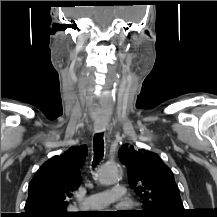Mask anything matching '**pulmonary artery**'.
Returning a JSON list of instances; mask_svg holds the SVG:
<instances>
[{
	"mask_svg": "<svg viewBox=\"0 0 217 217\" xmlns=\"http://www.w3.org/2000/svg\"><path fill=\"white\" fill-rule=\"evenodd\" d=\"M125 198V187L115 185L110 191L90 194L85 199V206L88 209H102L115 201Z\"/></svg>",
	"mask_w": 217,
	"mask_h": 217,
	"instance_id": "1",
	"label": "pulmonary artery"
}]
</instances>
